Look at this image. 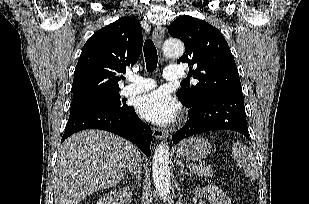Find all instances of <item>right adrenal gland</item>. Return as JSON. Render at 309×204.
<instances>
[{
    "instance_id": "1",
    "label": "right adrenal gland",
    "mask_w": 309,
    "mask_h": 204,
    "mask_svg": "<svg viewBox=\"0 0 309 204\" xmlns=\"http://www.w3.org/2000/svg\"><path fill=\"white\" fill-rule=\"evenodd\" d=\"M132 179H134V182H135V183H138V184L140 185V180H141V178H140V175H139V174H134L133 177H132Z\"/></svg>"
}]
</instances>
